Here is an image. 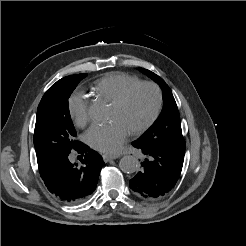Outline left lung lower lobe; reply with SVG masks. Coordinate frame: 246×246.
Wrapping results in <instances>:
<instances>
[{
  "instance_id": "1",
  "label": "left lung lower lobe",
  "mask_w": 246,
  "mask_h": 246,
  "mask_svg": "<svg viewBox=\"0 0 246 246\" xmlns=\"http://www.w3.org/2000/svg\"><path fill=\"white\" fill-rule=\"evenodd\" d=\"M132 145L144 154L145 160L141 163V171L130 180V188L146 200L165 196L180 176L185 149L144 145L136 141Z\"/></svg>"
}]
</instances>
